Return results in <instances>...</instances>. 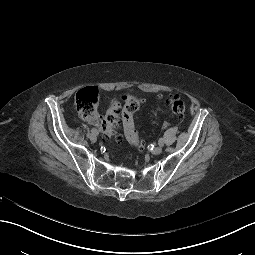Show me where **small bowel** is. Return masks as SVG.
<instances>
[{"instance_id":"c3829d8e","label":"small bowel","mask_w":255,"mask_h":255,"mask_svg":"<svg viewBox=\"0 0 255 255\" xmlns=\"http://www.w3.org/2000/svg\"><path fill=\"white\" fill-rule=\"evenodd\" d=\"M93 122H94V124H96V125L98 124V121H97L96 119L93 120Z\"/></svg>"}]
</instances>
